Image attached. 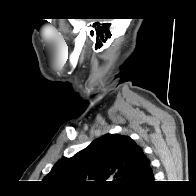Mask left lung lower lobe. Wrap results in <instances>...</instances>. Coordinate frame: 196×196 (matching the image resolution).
<instances>
[{
	"instance_id": "left-lung-lower-lobe-1",
	"label": "left lung lower lobe",
	"mask_w": 196,
	"mask_h": 196,
	"mask_svg": "<svg viewBox=\"0 0 196 196\" xmlns=\"http://www.w3.org/2000/svg\"><path fill=\"white\" fill-rule=\"evenodd\" d=\"M153 180H154V176H153L152 168H151V166H149L146 171V174L143 178L141 186H143L144 184H147V183H151V182H153Z\"/></svg>"
}]
</instances>
